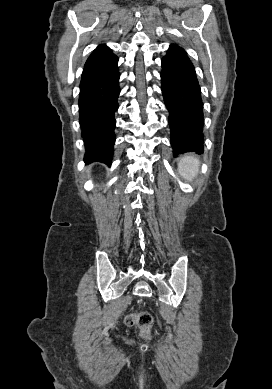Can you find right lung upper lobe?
<instances>
[{
    "label": "right lung upper lobe",
    "instance_id": "1",
    "mask_svg": "<svg viewBox=\"0 0 272 389\" xmlns=\"http://www.w3.org/2000/svg\"><path fill=\"white\" fill-rule=\"evenodd\" d=\"M113 55L114 54L111 52V50L107 46L100 45L88 57V59L85 63V66H89V65H92L94 63L100 62L104 59H107V58L113 56Z\"/></svg>",
    "mask_w": 272,
    "mask_h": 389
}]
</instances>
